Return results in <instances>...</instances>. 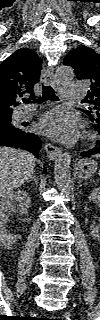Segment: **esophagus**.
<instances>
[{
	"instance_id": "obj_1",
	"label": "esophagus",
	"mask_w": 100,
	"mask_h": 320,
	"mask_svg": "<svg viewBox=\"0 0 100 320\" xmlns=\"http://www.w3.org/2000/svg\"><path fill=\"white\" fill-rule=\"evenodd\" d=\"M42 80L46 84H50L54 89L59 90L60 84L59 82L55 79L54 77V68L53 67H48L45 68L42 72L41 76ZM47 157L54 161L57 159V157L61 154V149L57 146H54L50 143H45L44 144Z\"/></svg>"
}]
</instances>
